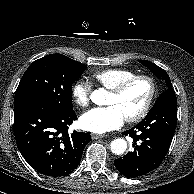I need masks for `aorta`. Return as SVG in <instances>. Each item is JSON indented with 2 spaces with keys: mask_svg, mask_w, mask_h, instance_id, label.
<instances>
[{
  "mask_svg": "<svg viewBox=\"0 0 194 194\" xmlns=\"http://www.w3.org/2000/svg\"><path fill=\"white\" fill-rule=\"evenodd\" d=\"M105 93H106V91L102 88L95 90L91 94V100L97 105H102L104 102V99H105V97H104ZM110 147H111V151L114 154L120 155L126 151L127 142L122 138H118V139H115L111 142Z\"/></svg>",
  "mask_w": 194,
  "mask_h": 194,
  "instance_id": "1",
  "label": "aorta"
}]
</instances>
